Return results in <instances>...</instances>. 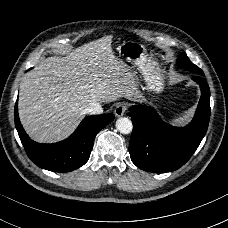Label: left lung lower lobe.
Listing matches in <instances>:
<instances>
[{
	"label": "left lung lower lobe",
	"mask_w": 228,
	"mask_h": 228,
	"mask_svg": "<svg viewBox=\"0 0 228 228\" xmlns=\"http://www.w3.org/2000/svg\"><path fill=\"white\" fill-rule=\"evenodd\" d=\"M201 98L192 122L184 127L161 121L154 109L144 105L129 108L133 131L129 142L132 162L144 171L163 173L179 169L193 155L206 134L210 119V90L200 76Z\"/></svg>",
	"instance_id": "left-lung-lower-lobe-1"
}]
</instances>
